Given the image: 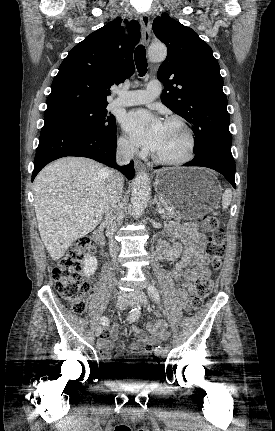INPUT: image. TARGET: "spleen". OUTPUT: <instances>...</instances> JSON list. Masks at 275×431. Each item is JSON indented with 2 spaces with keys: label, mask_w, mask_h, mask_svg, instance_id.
I'll list each match as a JSON object with an SVG mask.
<instances>
[{
  "label": "spleen",
  "mask_w": 275,
  "mask_h": 431,
  "mask_svg": "<svg viewBox=\"0 0 275 431\" xmlns=\"http://www.w3.org/2000/svg\"><path fill=\"white\" fill-rule=\"evenodd\" d=\"M232 200V191L230 189L225 190V192L222 195V207L224 210H226Z\"/></svg>",
  "instance_id": "1"
}]
</instances>
